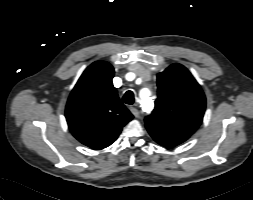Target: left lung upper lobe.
<instances>
[{
    "instance_id": "5c2ea615",
    "label": "left lung upper lobe",
    "mask_w": 253,
    "mask_h": 200,
    "mask_svg": "<svg viewBox=\"0 0 253 200\" xmlns=\"http://www.w3.org/2000/svg\"><path fill=\"white\" fill-rule=\"evenodd\" d=\"M158 98L146 126L191 136L202 122L205 95L191 73L172 64L157 75Z\"/></svg>"
}]
</instances>
